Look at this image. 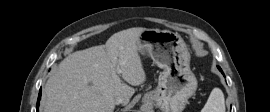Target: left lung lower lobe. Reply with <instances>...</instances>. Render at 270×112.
Instances as JSON below:
<instances>
[{"mask_svg": "<svg viewBox=\"0 0 270 112\" xmlns=\"http://www.w3.org/2000/svg\"><path fill=\"white\" fill-rule=\"evenodd\" d=\"M218 69L221 71V73L224 75V73H223V71L221 70V68L220 67H218Z\"/></svg>", "mask_w": 270, "mask_h": 112, "instance_id": "0a47b994", "label": "left lung lower lobe"}]
</instances>
